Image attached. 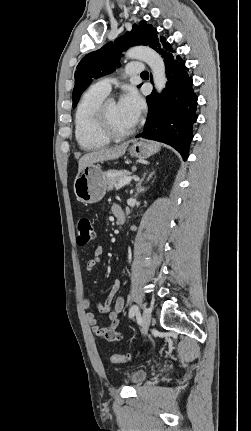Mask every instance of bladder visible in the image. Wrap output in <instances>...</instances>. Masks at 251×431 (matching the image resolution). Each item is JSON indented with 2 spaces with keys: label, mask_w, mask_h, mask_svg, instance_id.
I'll list each match as a JSON object with an SVG mask.
<instances>
[{
  "label": "bladder",
  "mask_w": 251,
  "mask_h": 431,
  "mask_svg": "<svg viewBox=\"0 0 251 431\" xmlns=\"http://www.w3.org/2000/svg\"><path fill=\"white\" fill-rule=\"evenodd\" d=\"M147 377V372L144 370H133L126 374L127 380L133 384L137 385L142 383Z\"/></svg>",
  "instance_id": "31cf9c89"
}]
</instances>
